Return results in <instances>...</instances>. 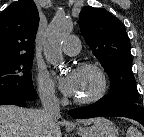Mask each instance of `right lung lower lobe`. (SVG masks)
<instances>
[{"label": "right lung lower lobe", "instance_id": "98d812e1", "mask_svg": "<svg viewBox=\"0 0 144 137\" xmlns=\"http://www.w3.org/2000/svg\"><path fill=\"white\" fill-rule=\"evenodd\" d=\"M0 105H17L22 107L27 106L24 99L15 96H1Z\"/></svg>", "mask_w": 144, "mask_h": 137}]
</instances>
